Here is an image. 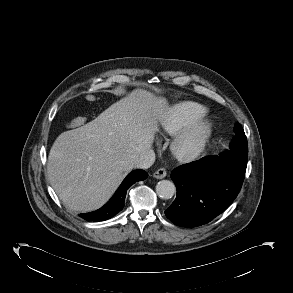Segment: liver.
Masks as SVG:
<instances>
[{"instance_id": "obj_1", "label": "liver", "mask_w": 293, "mask_h": 293, "mask_svg": "<svg viewBox=\"0 0 293 293\" xmlns=\"http://www.w3.org/2000/svg\"><path fill=\"white\" fill-rule=\"evenodd\" d=\"M165 98L135 89L91 122L61 133L48 157L47 176L70 210L90 212L113 195L133 162L150 150Z\"/></svg>"}]
</instances>
